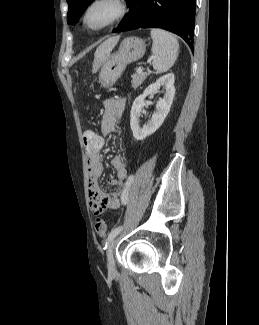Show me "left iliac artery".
Here are the masks:
<instances>
[{
  "mask_svg": "<svg viewBox=\"0 0 259 325\" xmlns=\"http://www.w3.org/2000/svg\"><path fill=\"white\" fill-rule=\"evenodd\" d=\"M134 176L130 175L126 181L124 191L122 193V203L126 205L128 203V194L131 184L133 183ZM122 230V226H118L114 228L110 233L106 240V245L116 236L119 234V232Z\"/></svg>",
  "mask_w": 259,
  "mask_h": 325,
  "instance_id": "44dca946",
  "label": "left iliac artery"
}]
</instances>
